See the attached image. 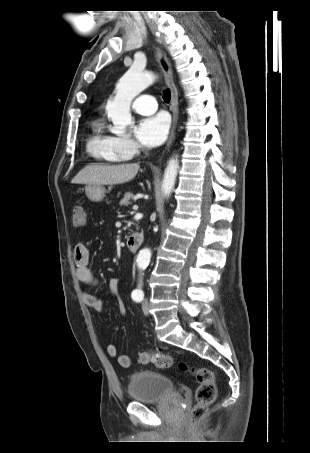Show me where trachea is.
Masks as SVG:
<instances>
[{"instance_id":"trachea-1","label":"trachea","mask_w":310,"mask_h":453,"mask_svg":"<svg viewBox=\"0 0 310 453\" xmlns=\"http://www.w3.org/2000/svg\"><path fill=\"white\" fill-rule=\"evenodd\" d=\"M170 98H171V92H170L169 89H166V90L163 92V99H164L165 102L169 103Z\"/></svg>"}]
</instances>
